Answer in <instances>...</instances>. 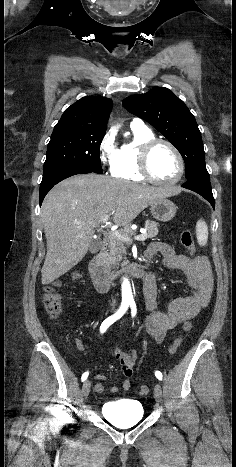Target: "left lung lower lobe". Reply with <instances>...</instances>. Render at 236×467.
I'll use <instances>...</instances> for the list:
<instances>
[{
    "label": "left lung lower lobe",
    "mask_w": 236,
    "mask_h": 467,
    "mask_svg": "<svg viewBox=\"0 0 236 467\" xmlns=\"http://www.w3.org/2000/svg\"><path fill=\"white\" fill-rule=\"evenodd\" d=\"M182 187L200 194L215 208V200L212 194L209 175H201L187 180Z\"/></svg>",
    "instance_id": "1"
}]
</instances>
